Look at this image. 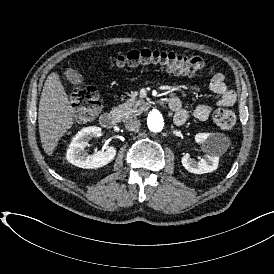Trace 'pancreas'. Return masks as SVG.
Wrapping results in <instances>:
<instances>
[{
  "label": "pancreas",
  "mask_w": 274,
  "mask_h": 274,
  "mask_svg": "<svg viewBox=\"0 0 274 274\" xmlns=\"http://www.w3.org/2000/svg\"><path fill=\"white\" fill-rule=\"evenodd\" d=\"M144 108L135 98L129 99L127 102L112 108L111 113L120 120H127L142 114Z\"/></svg>",
  "instance_id": "cf45deb5"
}]
</instances>
